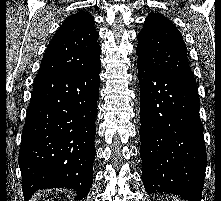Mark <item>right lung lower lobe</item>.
I'll list each match as a JSON object with an SVG mask.
<instances>
[{
    "label": "right lung lower lobe",
    "mask_w": 221,
    "mask_h": 201,
    "mask_svg": "<svg viewBox=\"0 0 221 201\" xmlns=\"http://www.w3.org/2000/svg\"><path fill=\"white\" fill-rule=\"evenodd\" d=\"M100 69L36 76L19 151L25 201L39 189L90 191Z\"/></svg>",
    "instance_id": "right-lung-lower-lobe-1"
}]
</instances>
